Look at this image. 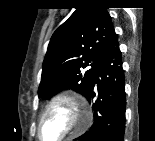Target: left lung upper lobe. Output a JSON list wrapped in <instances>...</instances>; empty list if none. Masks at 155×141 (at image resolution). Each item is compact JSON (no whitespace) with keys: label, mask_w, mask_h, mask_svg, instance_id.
Masks as SVG:
<instances>
[{"label":"left lung upper lobe","mask_w":155,"mask_h":141,"mask_svg":"<svg viewBox=\"0 0 155 141\" xmlns=\"http://www.w3.org/2000/svg\"><path fill=\"white\" fill-rule=\"evenodd\" d=\"M76 10L53 34L43 62L39 98L63 89L88 93L99 61L113 36L111 17L103 0H79ZM91 69L84 71L87 66Z\"/></svg>","instance_id":"5c2ea615"}]
</instances>
